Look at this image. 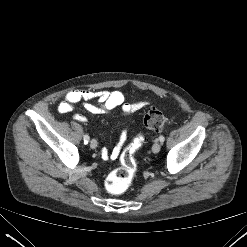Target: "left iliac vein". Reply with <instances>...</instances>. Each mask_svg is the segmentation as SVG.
I'll return each instance as SVG.
<instances>
[{
	"instance_id": "1",
	"label": "left iliac vein",
	"mask_w": 247,
	"mask_h": 247,
	"mask_svg": "<svg viewBox=\"0 0 247 247\" xmlns=\"http://www.w3.org/2000/svg\"><path fill=\"white\" fill-rule=\"evenodd\" d=\"M161 149V144L159 142H155L152 146L153 153H158Z\"/></svg>"
}]
</instances>
